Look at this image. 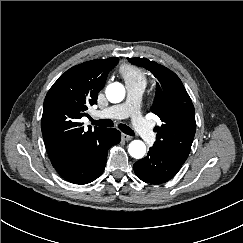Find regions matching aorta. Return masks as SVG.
<instances>
[{
	"label": "aorta",
	"mask_w": 243,
	"mask_h": 243,
	"mask_svg": "<svg viewBox=\"0 0 243 243\" xmlns=\"http://www.w3.org/2000/svg\"><path fill=\"white\" fill-rule=\"evenodd\" d=\"M106 97L111 103H119L125 97V88L119 82L111 83L106 88ZM129 154L135 159H141L146 153V145L141 140H133L128 147Z\"/></svg>",
	"instance_id": "aorta-1"
}]
</instances>
